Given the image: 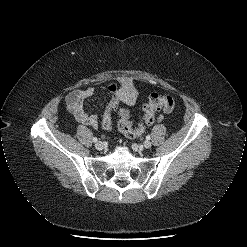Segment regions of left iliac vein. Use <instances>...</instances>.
<instances>
[{
	"label": "left iliac vein",
	"mask_w": 247,
	"mask_h": 247,
	"mask_svg": "<svg viewBox=\"0 0 247 247\" xmlns=\"http://www.w3.org/2000/svg\"><path fill=\"white\" fill-rule=\"evenodd\" d=\"M143 146L145 148H150L152 146V143L149 140L144 141Z\"/></svg>",
	"instance_id": "4c4485c4"
}]
</instances>
